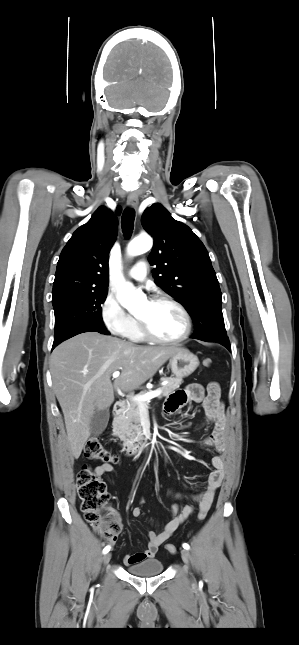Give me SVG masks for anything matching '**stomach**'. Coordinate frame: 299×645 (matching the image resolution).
<instances>
[{
  "label": "stomach",
  "instance_id": "0dacf381",
  "mask_svg": "<svg viewBox=\"0 0 299 645\" xmlns=\"http://www.w3.org/2000/svg\"><path fill=\"white\" fill-rule=\"evenodd\" d=\"M169 364L172 373L177 378H184L191 375L199 366V360L196 355L187 349H182L180 352L170 357Z\"/></svg>",
  "mask_w": 299,
  "mask_h": 645
}]
</instances>
